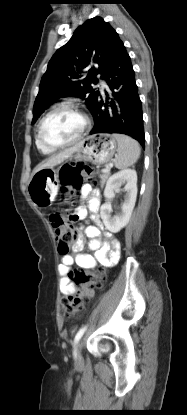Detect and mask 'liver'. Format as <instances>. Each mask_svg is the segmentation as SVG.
I'll return each mask as SVG.
<instances>
[{
	"instance_id": "liver-1",
	"label": "liver",
	"mask_w": 187,
	"mask_h": 415,
	"mask_svg": "<svg viewBox=\"0 0 187 415\" xmlns=\"http://www.w3.org/2000/svg\"><path fill=\"white\" fill-rule=\"evenodd\" d=\"M80 148V143L76 144L73 147H70L68 149H65L63 151H61L60 153L51 156L50 158H48L46 160V162L38 165L35 170L34 173H36L37 171L44 169V168H50V167H54L57 164H60L61 162H63L65 159L69 158L73 153H75L76 151H78Z\"/></svg>"
}]
</instances>
